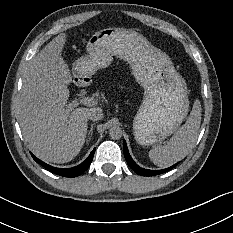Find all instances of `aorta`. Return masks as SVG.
Instances as JSON below:
<instances>
[{
    "label": "aorta",
    "instance_id": "762f6f07",
    "mask_svg": "<svg viewBox=\"0 0 233 233\" xmlns=\"http://www.w3.org/2000/svg\"><path fill=\"white\" fill-rule=\"evenodd\" d=\"M109 135L112 139L118 140L122 137V130L119 126H113L109 130Z\"/></svg>",
    "mask_w": 233,
    "mask_h": 233
}]
</instances>
